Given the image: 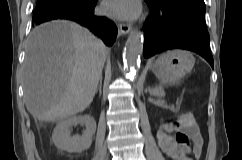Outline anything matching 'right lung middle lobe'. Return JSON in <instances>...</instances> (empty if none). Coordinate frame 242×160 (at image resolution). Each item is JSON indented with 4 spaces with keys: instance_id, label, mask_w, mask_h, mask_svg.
<instances>
[{
    "instance_id": "1",
    "label": "right lung middle lobe",
    "mask_w": 242,
    "mask_h": 160,
    "mask_svg": "<svg viewBox=\"0 0 242 160\" xmlns=\"http://www.w3.org/2000/svg\"><path fill=\"white\" fill-rule=\"evenodd\" d=\"M50 1L52 0H37V5L45 4ZM67 1H82V0H67Z\"/></svg>"
}]
</instances>
